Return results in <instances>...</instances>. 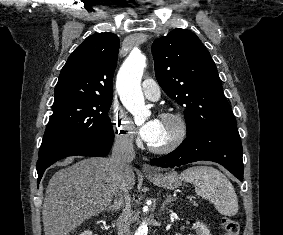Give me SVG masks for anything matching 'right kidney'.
I'll use <instances>...</instances> for the list:
<instances>
[{
	"label": "right kidney",
	"mask_w": 283,
	"mask_h": 235,
	"mask_svg": "<svg viewBox=\"0 0 283 235\" xmlns=\"http://www.w3.org/2000/svg\"><path fill=\"white\" fill-rule=\"evenodd\" d=\"M80 235H92V232L90 230H86L82 232Z\"/></svg>",
	"instance_id": "ca27d5eb"
}]
</instances>
